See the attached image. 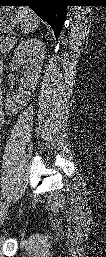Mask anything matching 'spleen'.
I'll list each match as a JSON object with an SVG mask.
<instances>
[{
	"mask_svg": "<svg viewBox=\"0 0 106 257\" xmlns=\"http://www.w3.org/2000/svg\"><path fill=\"white\" fill-rule=\"evenodd\" d=\"M18 14L20 16L21 29L24 34L33 32L40 23L37 15L28 7H19Z\"/></svg>",
	"mask_w": 106,
	"mask_h": 257,
	"instance_id": "spleen-1",
	"label": "spleen"
}]
</instances>
